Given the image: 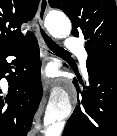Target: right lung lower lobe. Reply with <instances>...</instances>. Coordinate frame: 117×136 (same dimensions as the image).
<instances>
[{
	"label": "right lung lower lobe",
	"instance_id": "obj_1",
	"mask_svg": "<svg viewBox=\"0 0 117 136\" xmlns=\"http://www.w3.org/2000/svg\"><path fill=\"white\" fill-rule=\"evenodd\" d=\"M8 56L16 59L8 63ZM2 78L8 83L0 84V136H27L43 93L39 47L34 35L0 53Z\"/></svg>",
	"mask_w": 117,
	"mask_h": 136
}]
</instances>
